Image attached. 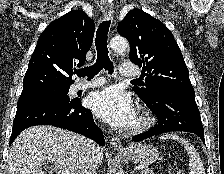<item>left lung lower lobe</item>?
Masks as SVG:
<instances>
[{"label": "left lung lower lobe", "instance_id": "obj_1", "mask_svg": "<svg viewBox=\"0 0 224 174\" xmlns=\"http://www.w3.org/2000/svg\"><path fill=\"white\" fill-rule=\"evenodd\" d=\"M194 90L163 89L144 101L158 119V124L145 133L134 136L139 142L171 131H185L198 135L204 141V130L195 102Z\"/></svg>", "mask_w": 224, "mask_h": 174}]
</instances>
